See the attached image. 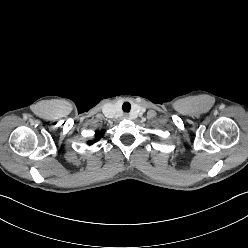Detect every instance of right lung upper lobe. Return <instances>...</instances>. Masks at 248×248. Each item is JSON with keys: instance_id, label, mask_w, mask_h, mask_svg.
Wrapping results in <instances>:
<instances>
[{"instance_id": "obj_1", "label": "right lung upper lobe", "mask_w": 248, "mask_h": 248, "mask_svg": "<svg viewBox=\"0 0 248 248\" xmlns=\"http://www.w3.org/2000/svg\"><path fill=\"white\" fill-rule=\"evenodd\" d=\"M104 130L100 131V132H96L95 137L96 140H99L102 136H103ZM95 141H89V144H93Z\"/></svg>"}]
</instances>
